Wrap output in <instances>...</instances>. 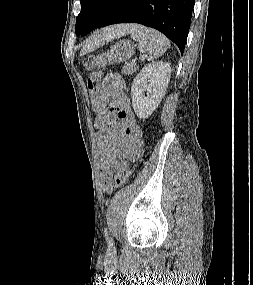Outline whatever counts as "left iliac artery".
<instances>
[{"mask_svg":"<svg viewBox=\"0 0 253 285\" xmlns=\"http://www.w3.org/2000/svg\"><path fill=\"white\" fill-rule=\"evenodd\" d=\"M109 244H110V246L112 247V246H113V241L110 240V241H109Z\"/></svg>","mask_w":253,"mask_h":285,"instance_id":"44dca946","label":"left iliac artery"}]
</instances>
